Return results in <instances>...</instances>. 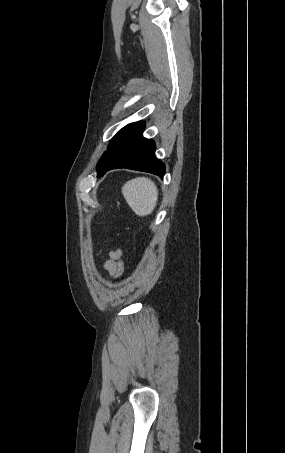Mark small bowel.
Here are the masks:
<instances>
[{"label": "small bowel", "mask_w": 285, "mask_h": 453, "mask_svg": "<svg viewBox=\"0 0 285 453\" xmlns=\"http://www.w3.org/2000/svg\"><path fill=\"white\" fill-rule=\"evenodd\" d=\"M122 251L116 250L110 253L109 259L105 262L104 268L111 276H120L123 272V262L121 260Z\"/></svg>", "instance_id": "obj_1"}]
</instances>
